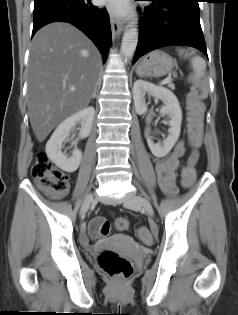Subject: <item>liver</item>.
I'll list each match as a JSON object with an SVG mask.
<instances>
[{
    "instance_id": "obj_1",
    "label": "liver",
    "mask_w": 238,
    "mask_h": 315,
    "mask_svg": "<svg viewBox=\"0 0 238 315\" xmlns=\"http://www.w3.org/2000/svg\"><path fill=\"white\" fill-rule=\"evenodd\" d=\"M100 66L95 45L71 24L50 23L35 34L28 63L27 106L39 142L89 104Z\"/></svg>"
}]
</instances>
